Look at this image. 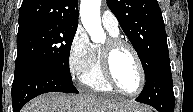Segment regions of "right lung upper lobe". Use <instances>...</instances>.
<instances>
[{"label": "right lung upper lobe", "instance_id": "cb5924a9", "mask_svg": "<svg viewBox=\"0 0 193 112\" xmlns=\"http://www.w3.org/2000/svg\"><path fill=\"white\" fill-rule=\"evenodd\" d=\"M18 22L19 29L44 23L78 26V0H23Z\"/></svg>", "mask_w": 193, "mask_h": 112}]
</instances>
